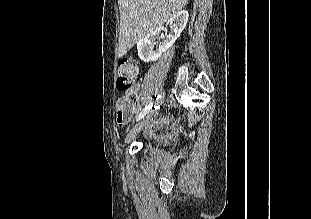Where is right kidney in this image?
Returning a JSON list of instances; mask_svg holds the SVG:
<instances>
[{"instance_id":"ca27d5eb","label":"right kidney","mask_w":311,"mask_h":219,"mask_svg":"<svg viewBox=\"0 0 311 219\" xmlns=\"http://www.w3.org/2000/svg\"><path fill=\"white\" fill-rule=\"evenodd\" d=\"M188 11L183 10L171 17L167 24L170 25V33L164 39L158 50H153V44L157 39L161 28L146 35L137 43L138 56L143 62L155 61L162 53L166 52L180 37L188 21Z\"/></svg>"}]
</instances>
